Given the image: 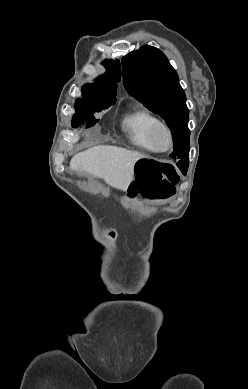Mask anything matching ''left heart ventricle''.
<instances>
[{
    "instance_id": "left-heart-ventricle-1",
    "label": "left heart ventricle",
    "mask_w": 248,
    "mask_h": 389,
    "mask_svg": "<svg viewBox=\"0 0 248 389\" xmlns=\"http://www.w3.org/2000/svg\"><path fill=\"white\" fill-rule=\"evenodd\" d=\"M155 143H156L157 146H160V147L164 146L165 139H164V135H163L162 132H158L157 133V135L155 137Z\"/></svg>"
}]
</instances>
